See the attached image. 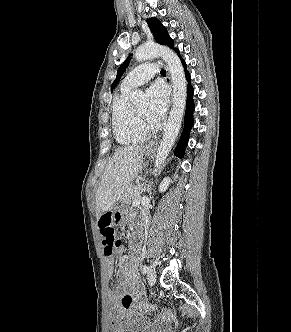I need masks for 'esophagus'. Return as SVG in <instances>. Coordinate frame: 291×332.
I'll list each match as a JSON object with an SVG mask.
<instances>
[{
	"label": "esophagus",
	"mask_w": 291,
	"mask_h": 332,
	"mask_svg": "<svg viewBox=\"0 0 291 332\" xmlns=\"http://www.w3.org/2000/svg\"><path fill=\"white\" fill-rule=\"evenodd\" d=\"M160 62L164 63L163 60H160ZM167 81H168V83L171 84V77H170V73L169 72H167ZM156 145H157V141L156 142L154 141V142H152V143L149 144V147L152 148V147H154Z\"/></svg>",
	"instance_id": "esophagus-1"
}]
</instances>
